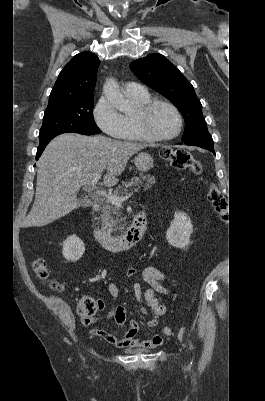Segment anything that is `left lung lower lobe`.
<instances>
[{
  "instance_id": "obj_1",
  "label": "left lung lower lobe",
  "mask_w": 265,
  "mask_h": 401,
  "mask_svg": "<svg viewBox=\"0 0 265 401\" xmlns=\"http://www.w3.org/2000/svg\"><path fill=\"white\" fill-rule=\"evenodd\" d=\"M186 145H193L198 146L204 149H207L215 155L214 148H213V139L209 133L203 134L186 141H183Z\"/></svg>"
}]
</instances>
